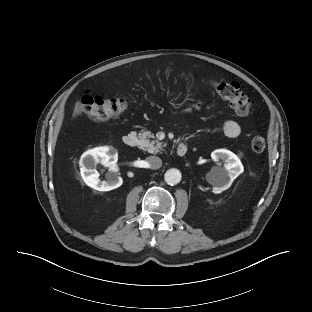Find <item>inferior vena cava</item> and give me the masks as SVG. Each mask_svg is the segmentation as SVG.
I'll list each match as a JSON object with an SVG mask.
<instances>
[{"label":"inferior vena cava","instance_id":"inferior-vena-cava-1","mask_svg":"<svg viewBox=\"0 0 312 312\" xmlns=\"http://www.w3.org/2000/svg\"><path fill=\"white\" fill-rule=\"evenodd\" d=\"M149 168L159 169L162 166V160L158 156H149L147 158Z\"/></svg>","mask_w":312,"mask_h":312}]
</instances>
